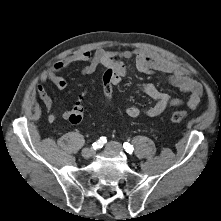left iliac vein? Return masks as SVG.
Here are the masks:
<instances>
[{
	"mask_svg": "<svg viewBox=\"0 0 221 221\" xmlns=\"http://www.w3.org/2000/svg\"><path fill=\"white\" fill-rule=\"evenodd\" d=\"M106 149L112 153H121L123 151V147L120 143L111 141L106 145Z\"/></svg>",
	"mask_w": 221,
	"mask_h": 221,
	"instance_id": "left-iliac-vein-1",
	"label": "left iliac vein"
}]
</instances>
